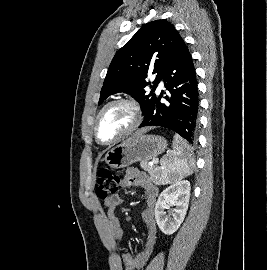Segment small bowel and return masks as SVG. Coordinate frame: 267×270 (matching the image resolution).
<instances>
[{"label": "small bowel", "instance_id": "1", "mask_svg": "<svg viewBox=\"0 0 267 270\" xmlns=\"http://www.w3.org/2000/svg\"><path fill=\"white\" fill-rule=\"evenodd\" d=\"M124 187H138L142 190L145 197V208L142 217L146 223L147 235L141 250L135 258L129 253H123L121 257L116 258V265L120 266L124 262L128 267L141 268L150 257L157 239V223L155 218V206L157 203V188L152 184L147 175L136 168H129L123 179ZM123 200L119 195H113L104 201L107 208V218L111 237L115 241H121L124 238V230L117 216L116 209L122 204Z\"/></svg>", "mask_w": 267, "mask_h": 270}]
</instances>
